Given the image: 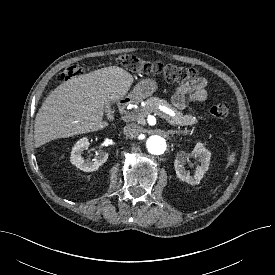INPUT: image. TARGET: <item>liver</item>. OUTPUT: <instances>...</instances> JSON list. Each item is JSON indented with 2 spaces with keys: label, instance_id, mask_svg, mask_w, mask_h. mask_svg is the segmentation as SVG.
<instances>
[{
  "label": "liver",
  "instance_id": "6515ba94",
  "mask_svg": "<svg viewBox=\"0 0 275 275\" xmlns=\"http://www.w3.org/2000/svg\"><path fill=\"white\" fill-rule=\"evenodd\" d=\"M133 81L130 73L117 66L65 81L51 92L36 115L35 146L107 127L104 109L122 100Z\"/></svg>",
  "mask_w": 275,
  "mask_h": 275
}]
</instances>
